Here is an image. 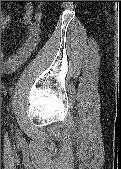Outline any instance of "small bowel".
<instances>
[{
	"mask_svg": "<svg viewBox=\"0 0 121 169\" xmlns=\"http://www.w3.org/2000/svg\"><path fill=\"white\" fill-rule=\"evenodd\" d=\"M32 10L28 9L27 12L21 17V23L24 26V33L22 40L15 53L7 58L1 56V71L8 73L16 70L22 63H24L31 55L39 41V19L40 15L35 13L32 16ZM12 20L11 13H4L1 17V28L4 29L7 24Z\"/></svg>",
	"mask_w": 121,
	"mask_h": 169,
	"instance_id": "small-bowel-1",
	"label": "small bowel"
}]
</instances>
